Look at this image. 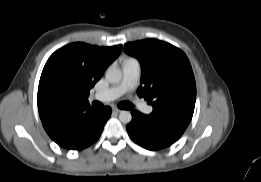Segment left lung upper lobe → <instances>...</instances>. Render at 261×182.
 <instances>
[{
    "label": "left lung upper lobe",
    "instance_id": "obj_1",
    "mask_svg": "<svg viewBox=\"0 0 261 182\" xmlns=\"http://www.w3.org/2000/svg\"><path fill=\"white\" fill-rule=\"evenodd\" d=\"M125 52L142 69L137 94L153 105L151 119L188 126L194 112L196 84L187 56L179 48L156 39L129 42Z\"/></svg>",
    "mask_w": 261,
    "mask_h": 182
}]
</instances>
